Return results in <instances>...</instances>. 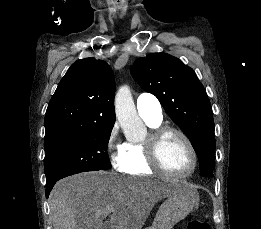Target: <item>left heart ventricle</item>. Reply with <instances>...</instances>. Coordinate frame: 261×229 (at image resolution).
Segmentation results:
<instances>
[{
	"label": "left heart ventricle",
	"instance_id": "left-heart-ventricle-1",
	"mask_svg": "<svg viewBox=\"0 0 261 229\" xmlns=\"http://www.w3.org/2000/svg\"><path fill=\"white\" fill-rule=\"evenodd\" d=\"M164 165L175 173H185L192 165V156L188 146L178 135H169L161 147Z\"/></svg>",
	"mask_w": 261,
	"mask_h": 229
}]
</instances>
